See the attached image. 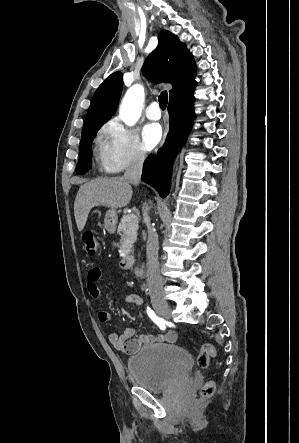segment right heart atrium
<instances>
[{"instance_id": "right-heart-atrium-1", "label": "right heart atrium", "mask_w": 299, "mask_h": 443, "mask_svg": "<svg viewBox=\"0 0 299 443\" xmlns=\"http://www.w3.org/2000/svg\"><path fill=\"white\" fill-rule=\"evenodd\" d=\"M100 135L111 171L121 172L144 163L146 154L134 130L117 120H111L100 129Z\"/></svg>"}]
</instances>
